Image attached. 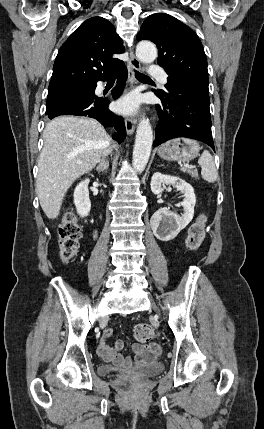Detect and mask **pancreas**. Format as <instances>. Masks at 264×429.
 Returning a JSON list of instances; mask_svg holds the SVG:
<instances>
[{"instance_id": "pancreas-1", "label": "pancreas", "mask_w": 264, "mask_h": 429, "mask_svg": "<svg viewBox=\"0 0 264 429\" xmlns=\"http://www.w3.org/2000/svg\"><path fill=\"white\" fill-rule=\"evenodd\" d=\"M188 172L192 177L194 178L198 177V172L196 170H188Z\"/></svg>"}]
</instances>
